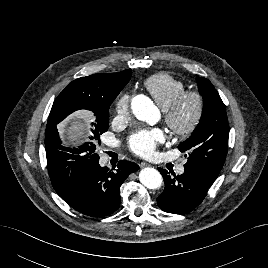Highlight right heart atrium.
I'll return each mask as SVG.
<instances>
[{
	"instance_id": "d8ad5b80",
	"label": "right heart atrium",
	"mask_w": 268,
	"mask_h": 268,
	"mask_svg": "<svg viewBox=\"0 0 268 268\" xmlns=\"http://www.w3.org/2000/svg\"><path fill=\"white\" fill-rule=\"evenodd\" d=\"M115 112L118 116L128 118L130 114V95L122 93L115 102Z\"/></svg>"
}]
</instances>
